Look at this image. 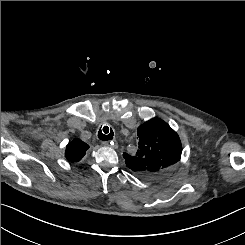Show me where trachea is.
<instances>
[{"label": "trachea", "instance_id": "1", "mask_svg": "<svg viewBox=\"0 0 245 245\" xmlns=\"http://www.w3.org/2000/svg\"><path fill=\"white\" fill-rule=\"evenodd\" d=\"M114 133L112 129H109L108 126H103L102 129L98 131V138L103 141L113 139Z\"/></svg>", "mask_w": 245, "mask_h": 245}]
</instances>
